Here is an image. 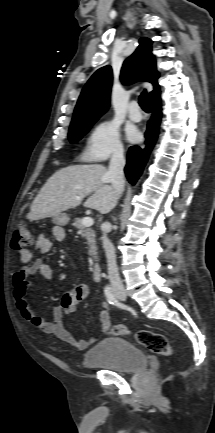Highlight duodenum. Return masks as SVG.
Listing matches in <instances>:
<instances>
[{"instance_id":"duodenum-1","label":"duodenum","mask_w":215,"mask_h":433,"mask_svg":"<svg viewBox=\"0 0 215 433\" xmlns=\"http://www.w3.org/2000/svg\"><path fill=\"white\" fill-rule=\"evenodd\" d=\"M92 276L96 281H100L102 278L101 267L98 263H94L92 266Z\"/></svg>"}]
</instances>
